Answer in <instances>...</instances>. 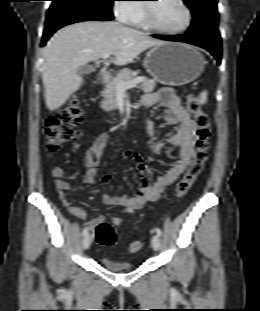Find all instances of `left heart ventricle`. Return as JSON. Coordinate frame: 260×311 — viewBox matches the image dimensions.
Listing matches in <instances>:
<instances>
[{
	"label": "left heart ventricle",
	"mask_w": 260,
	"mask_h": 311,
	"mask_svg": "<svg viewBox=\"0 0 260 311\" xmlns=\"http://www.w3.org/2000/svg\"><path fill=\"white\" fill-rule=\"evenodd\" d=\"M152 4L156 23L165 29L181 28L186 21V13L177 0H158Z\"/></svg>",
	"instance_id": "obj_1"
}]
</instances>
